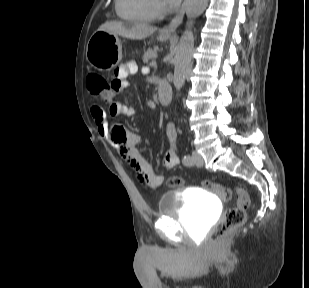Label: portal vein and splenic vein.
<instances>
[{
	"instance_id": "18ae733b",
	"label": "portal vein and splenic vein",
	"mask_w": 309,
	"mask_h": 288,
	"mask_svg": "<svg viewBox=\"0 0 309 288\" xmlns=\"http://www.w3.org/2000/svg\"><path fill=\"white\" fill-rule=\"evenodd\" d=\"M150 65H151V66H156V62H155V61H152Z\"/></svg>"
}]
</instances>
